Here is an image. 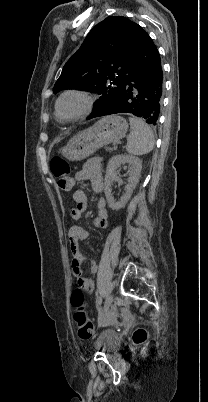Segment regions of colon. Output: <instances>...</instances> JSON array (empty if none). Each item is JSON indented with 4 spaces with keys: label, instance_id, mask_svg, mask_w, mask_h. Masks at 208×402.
<instances>
[{
    "label": "colon",
    "instance_id": "obj_1",
    "mask_svg": "<svg viewBox=\"0 0 208 402\" xmlns=\"http://www.w3.org/2000/svg\"><path fill=\"white\" fill-rule=\"evenodd\" d=\"M52 175L56 179L57 187L65 192H70L74 186V177L70 173V166L66 160L56 157L50 161L49 164ZM71 303L77 308L74 315L75 322L77 324L78 335L81 339H89L93 334V321L86 316L84 311L85 299L83 292L75 288L72 294ZM122 315L127 316L130 313L129 308L124 307L121 310ZM125 325H130V320H125ZM133 338H146L147 330L143 326L139 329L132 330Z\"/></svg>",
    "mask_w": 208,
    "mask_h": 402
}]
</instances>
